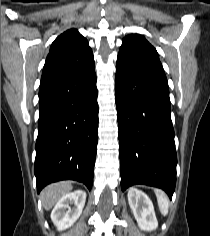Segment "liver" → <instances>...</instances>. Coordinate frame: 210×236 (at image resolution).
I'll return each instance as SVG.
<instances>
[{"instance_id":"1","label":"liver","mask_w":210,"mask_h":236,"mask_svg":"<svg viewBox=\"0 0 210 236\" xmlns=\"http://www.w3.org/2000/svg\"><path fill=\"white\" fill-rule=\"evenodd\" d=\"M72 190V185L68 181H62L48 185L41 192V200L45 210L51 209L58 200Z\"/></svg>"}]
</instances>
